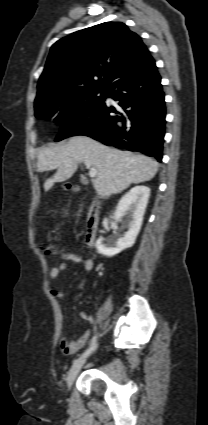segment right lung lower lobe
<instances>
[{"mask_svg": "<svg viewBox=\"0 0 208 425\" xmlns=\"http://www.w3.org/2000/svg\"><path fill=\"white\" fill-rule=\"evenodd\" d=\"M106 97L117 100L121 109L102 101L63 122L56 141L85 135L108 146L142 152L161 162L165 101L161 77L151 55L121 71L107 86Z\"/></svg>", "mask_w": 208, "mask_h": 425, "instance_id": "1", "label": "right lung lower lobe"}]
</instances>
